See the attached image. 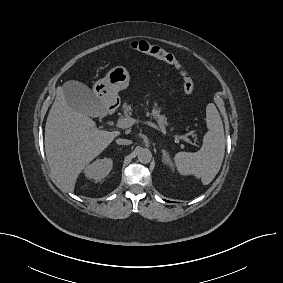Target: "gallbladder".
<instances>
[{"mask_svg": "<svg viewBox=\"0 0 283 283\" xmlns=\"http://www.w3.org/2000/svg\"><path fill=\"white\" fill-rule=\"evenodd\" d=\"M65 100L75 111L87 116H100L104 108L98 102L92 91L78 81H67L62 87Z\"/></svg>", "mask_w": 283, "mask_h": 283, "instance_id": "obj_1", "label": "gallbladder"}]
</instances>
